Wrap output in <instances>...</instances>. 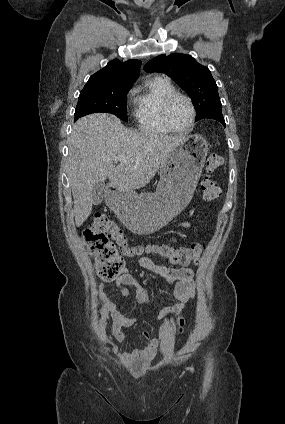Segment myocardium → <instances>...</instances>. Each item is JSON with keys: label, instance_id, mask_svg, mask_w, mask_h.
Wrapping results in <instances>:
<instances>
[{"label": "myocardium", "instance_id": "f54148a6", "mask_svg": "<svg viewBox=\"0 0 285 424\" xmlns=\"http://www.w3.org/2000/svg\"><path fill=\"white\" fill-rule=\"evenodd\" d=\"M178 98L184 99L188 103L190 110H191L190 122L185 128H182V129L175 128L170 123V120H169L170 106ZM196 115H197L196 108H195V105H194L193 101L191 100V98L188 97L187 95L177 93V92L172 94L171 96H169L164 101V103L162 105V109H161V117H162V121H163L164 125L166 126V128H168L171 132H174V133H187L188 131H190L191 128L193 127V125H194L195 120H196Z\"/></svg>", "mask_w": 285, "mask_h": 424}]
</instances>
